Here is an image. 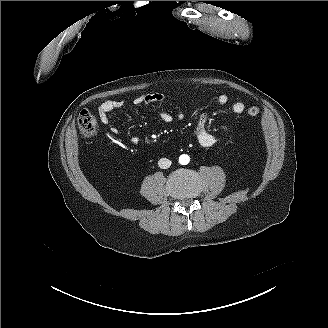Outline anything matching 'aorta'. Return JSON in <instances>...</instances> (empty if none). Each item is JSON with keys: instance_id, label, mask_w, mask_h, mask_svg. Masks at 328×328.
Segmentation results:
<instances>
[{"instance_id": "1", "label": "aorta", "mask_w": 328, "mask_h": 328, "mask_svg": "<svg viewBox=\"0 0 328 328\" xmlns=\"http://www.w3.org/2000/svg\"><path fill=\"white\" fill-rule=\"evenodd\" d=\"M190 161V158L188 155L186 154H182L180 157H179V163L181 165H187Z\"/></svg>"}]
</instances>
